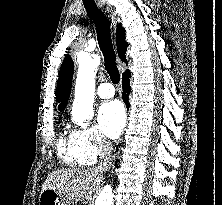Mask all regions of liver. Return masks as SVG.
<instances>
[{"mask_svg":"<svg viewBox=\"0 0 222 205\" xmlns=\"http://www.w3.org/2000/svg\"><path fill=\"white\" fill-rule=\"evenodd\" d=\"M100 182L99 172L94 169L70 167L52 172L42 185V191L51 189L66 199L86 203L92 199Z\"/></svg>","mask_w":222,"mask_h":205,"instance_id":"6515ba94","label":"liver"}]
</instances>
